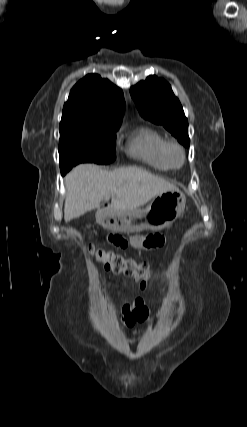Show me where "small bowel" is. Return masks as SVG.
Listing matches in <instances>:
<instances>
[{
	"label": "small bowel",
	"instance_id": "c3829d8e",
	"mask_svg": "<svg viewBox=\"0 0 247 427\" xmlns=\"http://www.w3.org/2000/svg\"><path fill=\"white\" fill-rule=\"evenodd\" d=\"M108 243L119 250H125L129 241L118 235L116 232L107 234ZM131 244L137 248H160L164 245V237L160 234L136 235L131 238ZM122 322L125 326L132 328L136 323L146 322L149 318V309L142 298H137L133 302H125L121 308Z\"/></svg>",
	"mask_w": 247,
	"mask_h": 427
}]
</instances>
